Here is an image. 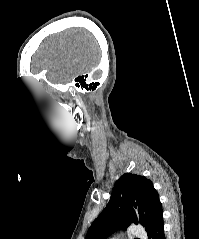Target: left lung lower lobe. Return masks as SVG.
I'll use <instances>...</instances> for the list:
<instances>
[{
	"mask_svg": "<svg viewBox=\"0 0 199 239\" xmlns=\"http://www.w3.org/2000/svg\"><path fill=\"white\" fill-rule=\"evenodd\" d=\"M148 239H166L164 234L163 211L160 210L145 229Z\"/></svg>",
	"mask_w": 199,
	"mask_h": 239,
	"instance_id": "left-lung-lower-lobe-1",
	"label": "left lung lower lobe"
}]
</instances>
